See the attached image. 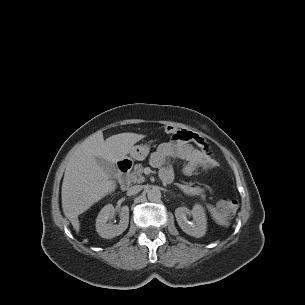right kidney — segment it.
I'll use <instances>...</instances> for the list:
<instances>
[{
  "label": "right kidney",
  "instance_id": "ca27d5eb",
  "mask_svg": "<svg viewBox=\"0 0 305 305\" xmlns=\"http://www.w3.org/2000/svg\"><path fill=\"white\" fill-rule=\"evenodd\" d=\"M115 209L112 204L105 205L99 212L96 219V231L102 238L111 239L122 234L129 224V208L123 206L120 211V222L113 225Z\"/></svg>",
  "mask_w": 305,
  "mask_h": 305
}]
</instances>
